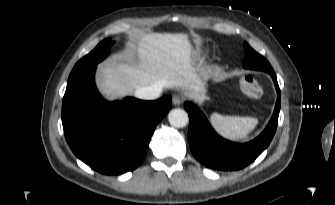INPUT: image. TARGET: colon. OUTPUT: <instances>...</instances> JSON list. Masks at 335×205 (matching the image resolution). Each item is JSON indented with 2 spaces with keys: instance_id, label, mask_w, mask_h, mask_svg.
<instances>
[{
  "instance_id": "1",
  "label": "colon",
  "mask_w": 335,
  "mask_h": 205,
  "mask_svg": "<svg viewBox=\"0 0 335 205\" xmlns=\"http://www.w3.org/2000/svg\"><path fill=\"white\" fill-rule=\"evenodd\" d=\"M242 92L251 98H259L264 95L265 89L251 75H245L240 79Z\"/></svg>"
}]
</instances>
